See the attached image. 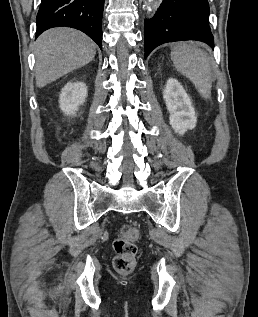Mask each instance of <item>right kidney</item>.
Instances as JSON below:
<instances>
[{"label":"right kidney","mask_w":258,"mask_h":317,"mask_svg":"<svg viewBox=\"0 0 258 317\" xmlns=\"http://www.w3.org/2000/svg\"><path fill=\"white\" fill-rule=\"evenodd\" d=\"M87 96V86L84 82H67L61 88L59 96L60 108L65 114H75L80 104L85 102Z\"/></svg>","instance_id":"right-kidney-1"}]
</instances>
